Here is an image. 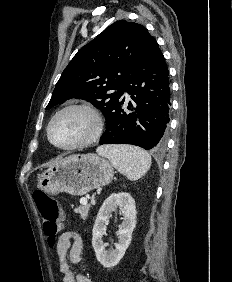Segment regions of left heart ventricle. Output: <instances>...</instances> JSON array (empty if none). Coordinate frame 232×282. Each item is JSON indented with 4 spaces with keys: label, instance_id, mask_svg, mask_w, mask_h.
Returning a JSON list of instances; mask_svg holds the SVG:
<instances>
[{
    "label": "left heart ventricle",
    "instance_id": "left-heart-ventricle-1",
    "mask_svg": "<svg viewBox=\"0 0 232 282\" xmlns=\"http://www.w3.org/2000/svg\"><path fill=\"white\" fill-rule=\"evenodd\" d=\"M93 129L94 120L87 112L72 110L55 120L51 128V136L59 145H70L87 138Z\"/></svg>",
    "mask_w": 232,
    "mask_h": 282
}]
</instances>
